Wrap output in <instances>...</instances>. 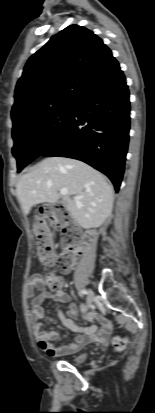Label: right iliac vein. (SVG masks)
Wrapping results in <instances>:
<instances>
[{
	"mask_svg": "<svg viewBox=\"0 0 155 413\" xmlns=\"http://www.w3.org/2000/svg\"><path fill=\"white\" fill-rule=\"evenodd\" d=\"M94 300V293L91 289L88 290L87 293V306L90 307Z\"/></svg>",
	"mask_w": 155,
	"mask_h": 413,
	"instance_id": "63e3f726",
	"label": "right iliac vein"
}]
</instances>
